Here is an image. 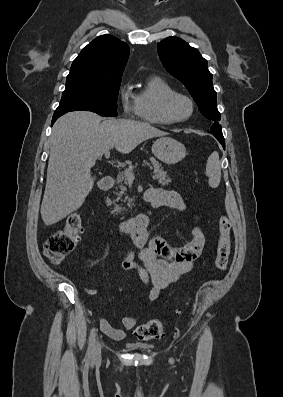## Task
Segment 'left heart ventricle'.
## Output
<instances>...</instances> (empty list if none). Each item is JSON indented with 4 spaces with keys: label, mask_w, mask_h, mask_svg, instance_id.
<instances>
[{
    "label": "left heart ventricle",
    "mask_w": 283,
    "mask_h": 397,
    "mask_svg": "<svg viewBox=\"0 0 283 397\" xmlns=\"http://www.w3.org/2000/svg\"><path fill=\"white\" fill-rule=\"evenodd\" d=\"M189 110H190L189 104L182 99L175 100L172 105V111L176 117L186 116L189 113Z\"/></svg>",
    "instance_id": "left-heart-ventricle-1"
}]
</instances>
